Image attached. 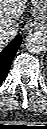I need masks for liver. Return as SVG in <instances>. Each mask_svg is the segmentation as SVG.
<instances>
[{"label":"liver","instance_id":"obj_1","mask_svg":"<svg viewBox=\"0 0 47 129\" xmlns=\"http://www.w3.org/2000/svg\"><path fill=\"white\" fill-rule=\"evenodd\" d=\"M28 0H0V31L2 29L18 30V20L27 7ZM9 41L0 39L2 49Z\"/></svg>","mask_w":47,"mask_h":129}]
</instances>
